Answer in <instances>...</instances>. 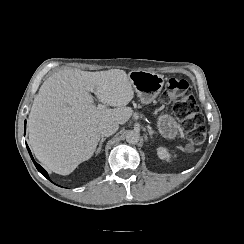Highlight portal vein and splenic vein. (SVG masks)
<instances>
[{"instance_id":"portal-vein-and-splenic-vein-1","label":"portal vein and splenic vein","mask_w":244,"mask_h":244,"mask_svg":"<svg viewBox=\"0 0 244 244\" xmlns=\"http://www.w3.org/2000/svg\"><path fill=\"white\" fill-rule=\"evenodd\" d=\"M89 91L93 92L94 89L93 88H88ZM103 105H98V107H102Z\"/></svg>"}]
</instances>
